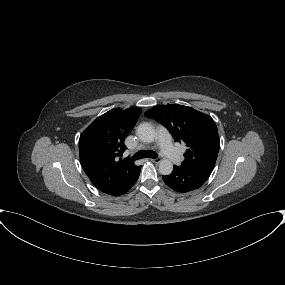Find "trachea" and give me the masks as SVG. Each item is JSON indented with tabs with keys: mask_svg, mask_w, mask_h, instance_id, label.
<instances>
[{
	"mask_svg": "<svg viewBox=\"0 0 285 285\" xmlns=\"http://www.w3.org/2000/svg\"><path fill=\"white\" fill-rule=\"evenodd\" d=\"M157 158L158 157V154L154 151H144V150H141V151H138L133 157H132V160H139V159H142V158Z\"/></svg>",
	"mask_w": 285,
	"mask_h": 285,
	"instance_id": "trachea-1",
	"label": "trachea"
}]
</instances>
